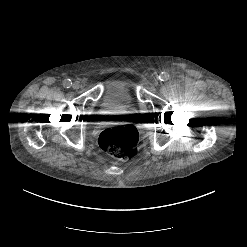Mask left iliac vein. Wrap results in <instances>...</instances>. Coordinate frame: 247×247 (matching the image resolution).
I'll return each mask as SVG.
<instances>
[{
    "instance_id": "1",
    "label": "left iliac vein",
    "mask_w": 247,
    "mask_h": 247,
    "mask_svg": "<svg viewBox=\"0 0 247 247\" xmlns=\"http://www.w3.org/2000/svg\"><path fill=\"white\" fill-rule=\"evenodd\" d=\"M158 82H159L158 78H155L154 81H153L154 85H157Z\"/></svg>"
}]
</instances>
